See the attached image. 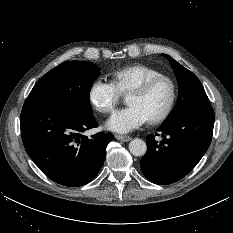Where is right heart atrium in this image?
I'll use <instances>...</instances> for the list:
<instances>
[{
    "instance_id": "d8ad5b80",
    "label": "right heart atrium",
    "mask_w": 233,
    "mask_h": 233,
    "mask_svg": "<svg viewBox=\"0 0 233 233\" xmlns=\"http://www.w3.org/2000/svg\"><path fill=\"white\" fill-rule=\"evenodd\" d=\"M88 98L95 110L102 114H109L116 108L121 93L112 82L96 79L89 88Z\"/></svg>"
}]
</instances>
